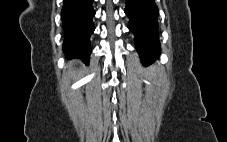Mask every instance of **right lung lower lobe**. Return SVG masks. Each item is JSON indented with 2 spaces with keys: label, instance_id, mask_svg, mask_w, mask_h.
<instances>
[{
  "label": "right lung lower lobe",
  "instance_id": "right-lung-lower-lobe-1",
  "mask_svg": "<svg viewBox=\"0 0 227 142\" xmlns=\"http://www.w3.org/2000/svg\"><path fill=\"white\" fill-rule=\"evenodd\" d=\"M92 2L93 0H64L61 11L65 36L63 50L68 58L79 57L88 62L91 53L89 38L95 30Z\"/></svg>",
  "mask_w": 227,
  "mask_h": 142
}]
</instances>
